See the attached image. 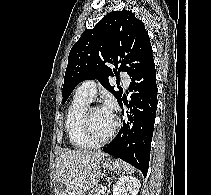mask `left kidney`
Listing matches in <instances>:
<instances>
[{"instance_id": "left-kidney-1", "label": "left kidney", "mask_w": 211, "mask_h": 195, "mask_svg": "<svg viewBox=\"0 0 211 195\" xmlns=\"http://www.w3.org/2000/svg\"><path fill=\"white\" fill-rule=\"evenodd\" d=\"M140 181L133 176H121L113 187V195H137Z\"/></svg>"}]
</instances>
